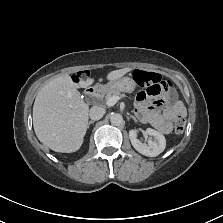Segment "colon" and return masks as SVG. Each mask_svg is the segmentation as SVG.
I'll use <instances>...</instances> for the list:
<instances>
[{
    "label": "colon",
    "instance_id": "1",
    "mask_svg": "<svg viewBox=\"0 0 223 223\" xmlns=\"http://www.w3.org/2000/svg\"><path fill=\"white\" fill-rule=\"evenodd\" d=\"M85 73H79L76 77L81 78L84 77ZM133 79L141 86L151 87L153 85L164 83L165 79L157 73L146 72L141 70H136L133 73ZM186 127V119L183 114H179L176 117L175 121V132L180 134L185 130Z\"/></svg>",
    "mask_w": 223,
    "mask_h": 223
}]
</instances>
